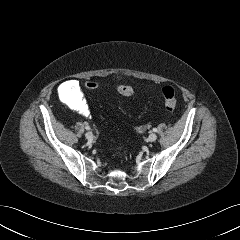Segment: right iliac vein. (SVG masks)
<instances>
[{
    "label": "right iliac vein",
    "instance_id": "right-iliac-vein-1",
    "mask_svg": "<svg viewBox=\"0 0 240 240\" xmlns=\"http://www.w3.org/2000/svg\"><path fill=\"white\" fill-rule=\"evenodd\" d=\"M85 137H86V139H88V140H92V139H93V134H92V132H87V133L85 134Z\"/></svg>",
    "mask_w": 240,
    "mask_h": 240
}]
</instances>
